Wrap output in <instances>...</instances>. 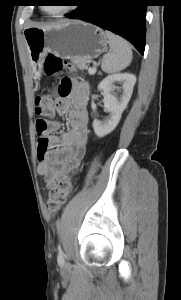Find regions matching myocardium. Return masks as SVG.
Wrapping results in <instances>:
<instances>
[{"mask_svg":"<svg viewBox=\"0 0 181 300\" xmlns=\"http://www.w3.org/2000/svg\"><path fill=\"white\" fill-rule=\"evenodd\" d=\"M75 8H76V5L69 4V5H67V7L64 10H62L61 12L56 13V14L48 13L44 6L41 7V10L49 17L60 18V17L69 15L70 13H72L74 11Z\"/></svg>","mask_w":181,"mask_h":300,"instance_id":"myocardium-1","label":"myocardium"}]
</instances>
